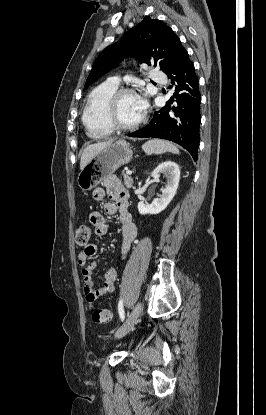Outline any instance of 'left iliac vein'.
Segmentation results:
<instances>
[{
  "mask_svg": "<svg viewBox=\"0 0 266 415\" xmlns=\"http://www.w3.org/2000/svg\"><path fill=\"white\" fill-rule=\"evenodd\" d=\"M142 304L141 302H138L131 313L128 315L126 321L123 323V325L117 330L115 337L116 338H122L126 334H128L133 326L136 324L137 319L139 317V314L141 312Z\"/></svg>",
  "mask_w": 266,
  "mask_h": 415,
  "instance_id": "obj_1",
  "label": "left iliac vein"
}]
</instances>
